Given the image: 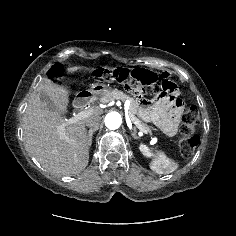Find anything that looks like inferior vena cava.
Segmentation results:
<instances>
[{
	"label": "inferior vena cava",
	"instance_id": "inferior-vena-cava-1",
	"mask_svg": "<svg viewBox=\"0 0 236 236\" xmlns=\"http://www.w3.org/2000/svg\"><path fill=\"white\" fill-rule=\"evenodd\" d=\"M100 122H101V117H92L86 121V126L89 127L90 129L98 130Z\"/></svg>",
	"mask_w": 236,
	"mask_h": 236
}]
</instances>
